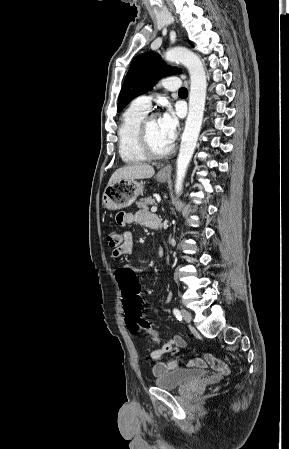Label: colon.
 <instances>
[{"mask_svg": "<svg viewBox=\"0 0 289 449\" xmlns=\"http://www.w3.org/2000/svg\"><path fill=\"white\" fill-rule=\"evenodd\" d=\"M123 240V235L117 230H111L107 235L108 244L113 250H117L122 245ZM113 273L116 280L119 281V290L122 295L121 304L124 305L128 328L134 333L146 334L152 337L156 346L151 348L149 353L163 350V345H160L161 339L158 332L150 326L144 317L140 285L136 274L129 268H115Z\"/></svg>", "mask_w": 289, "mask_h": 449, "instance_id": "5ec220e1", "label": "colon"}]
</instances>
